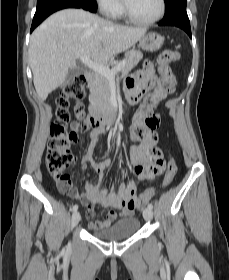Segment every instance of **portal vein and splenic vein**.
I'll return each instance as SVG.
<instances>
[{
    "instance_id": "obj_1",
    "label": "portal vein and splenic vein",
    "mask_w": 229,
    "mask_h": 280,
    "mask_svg": "<svg viewBox=\"0 0 229 280\" xmlns=\"http://www.w3.org/2000/svg\"><path fill=\"white\" fill-rule=\"evenodd\" d=\"M80 60H81V62L84 65L89 67L91 70H93V71H95V72L105 76L109 80H114L116 73L121 71L124 68L125 64H126V61L122 60L114 68L110 69L109 67H107V66H105V65H103L101 63L92 61L90 59V57L87 56V55L81 56Z\"/></svg>"
}]
</instances>
